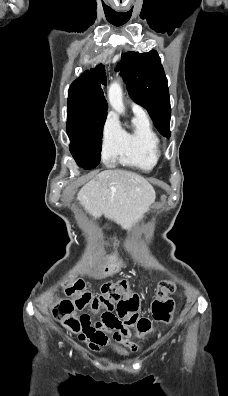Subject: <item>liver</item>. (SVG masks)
<instances>
[{
    "label": "liver",
    "instance_id": "6515ba94",
    "mask_svg": "<svg viewBox=\"0 0 228 396\" xmlns=\"http://www.w3.org/2000/svg\"><path fill=\"white\" fill-rule=\"evenodd\" d=\"M156 193L143 177L125 170H105L84 185L77 199L94 218L104 215L117 223L141 220Z\"/></svg>",
    "mask_w": 228,
    "mask_h": 396
}]
</instances>
